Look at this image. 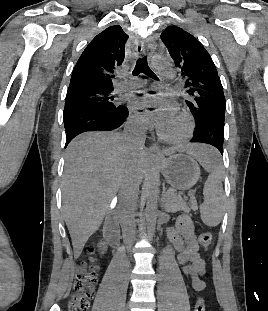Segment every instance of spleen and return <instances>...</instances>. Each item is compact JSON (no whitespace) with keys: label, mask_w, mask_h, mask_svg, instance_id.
<instances>
[{"label":"spleen","mask_w":268,"mask_h":311,"mask_svg":"<svg viewBox=\"0 0 268 311\" xmlns=\"http://www.w3.org/2000/svg\"><path fill=\"white\" fill-rule=\"evenodd\" d=\"M194 157L209 176L203 188L204 202L200 205L201 219L209 227L217 226L223 217L225 195L222 186L223 167L216 148L211 144L193 141Z\"/></svg>","instance_id":"obj_1"}]
</instances>
